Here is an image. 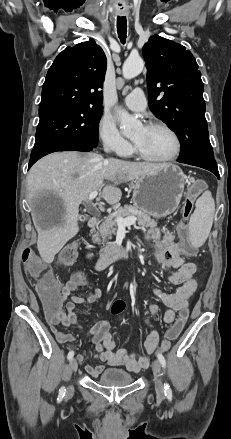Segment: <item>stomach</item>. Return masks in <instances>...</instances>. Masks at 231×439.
Returning a JSON list of instances; mask_svg holds the SVG:
<instances>
[{"mask_svg": "<svg viewBox=\"0 0 231 439\" xmlns=\"http://www.w3.org/2000/svg\"><path fill=\"white\" fill-rule=\"evenodd\" d=\"M185 183L183 171L176 165L167 164L134 182L133 205L150 216L166 217L179 206Z\"/></svg>", "mask_w": 231, "mask_h": 439, "instance_id": "obj_1", "label": "stomach"}]
</instances>
